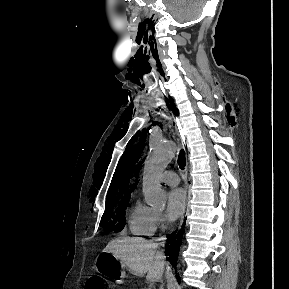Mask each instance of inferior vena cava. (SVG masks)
<instances>
[{
  "instance_id": "1",
  "label": "inferior vena cava",
  "mask_w": 289,
  "mask_h": 289,
  "mask_svg": "<svg viewBox=\"0 0 289 289\" xmlns=\"http://www.w3.org/2000/svg\"><path fill=\"white\" fill-rule=\"evenodd\" d=\"M161 244H164V241ZM157 255L162 261L164 260V253L162 251H157ZM160 289H163V287Z\"/></svg>"
}]
</instances>
